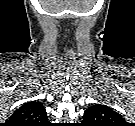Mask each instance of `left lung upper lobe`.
<instances>
[{"mask_svg":"<svg viewBox=\"0 0 135 126\" xmlns=\"http://www.w3.org/2000/svg\"><path fill=\"white\" fill-rule=\"evenodd\" d=\"M83 122L87 126H122L124 119L116 111L103 104H94L85 110Z\"/></svg>","mask_w":135,"mask_h":126,"instance_id":"1","label":"left lung upper lobe"}]
</instances>
